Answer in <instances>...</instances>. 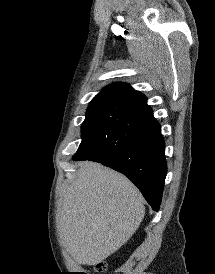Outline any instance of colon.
<instances>
[{"label":"colon","mask_w":215,"mask_h":274,"mask_svg":"<svg viewBox=\"0 0 215 274\" xmlns=\"http://www.w3.org/2000/svg\"><path fill=\"white\" fill-rule=\"evenodd\" d=\"M98 268H99V270H102V269L104 268V264H100V265L98 266Z\"/></svg>","instance_id":"obj_1"}]
</instances>
